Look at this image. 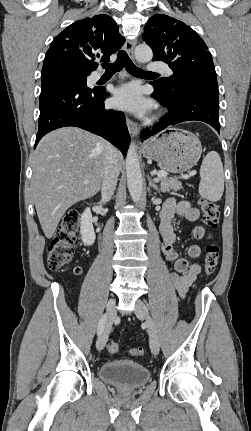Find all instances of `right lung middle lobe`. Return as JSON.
Wrapping results in <instances>:
<instances>
[{"label":"right lung middle lobe","mask_w":251,"mask_h":431,"mask_svg":"<svg viewBox=\"0 0 251 431\" xmlns=\"http://www.w3.org/2000/svg\"><path fill=\"white\" fill-rule=\"evenodd\" d=\"M51 73L70 75L86 85L87 76L90 75L91 71L85 70L73 63L59 60L52 62L46 68L42 69V76Z\"/></svg>","instance_id":"right-lung-middle-lobe-1"}]
</instances>
